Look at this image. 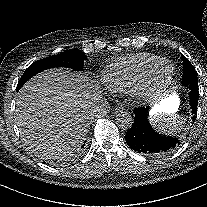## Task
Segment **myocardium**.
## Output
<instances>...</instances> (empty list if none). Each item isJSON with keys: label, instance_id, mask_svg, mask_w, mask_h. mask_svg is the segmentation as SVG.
Segmentation results:
<instances>
[{"label": "myocardium", "instance_id": "f54148a6", "mask_svg": "<svg viewBox=\"0 0 207 207\" xmlns=\"http://www.w3.org/2000/svg\"><path fill=\"white\" fill-rule=\"evenodd\" d=\"M164 63L172 66V73L162 87H155L152 83V74ZM176 77V67L172 60L162 58L156 61L144 74L142 85L135 90L131 97L138 105H145L162 99L170 91Z\"/></svg>", "mask_w": 207, "mask_h": 207}]
</instances>
